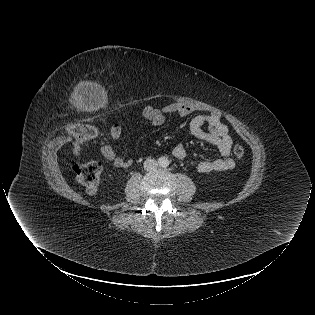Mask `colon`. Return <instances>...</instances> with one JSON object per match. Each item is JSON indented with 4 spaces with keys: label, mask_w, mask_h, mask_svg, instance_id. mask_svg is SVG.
<instances>
[{
    "label": "colon",
    "mask_w": 315,
    "mask_h": 315,
    "mask_svg": "<svg viewBox=\"0 0 315 315\" xmlns=\"http://www.w3.org/2000/svg\"><path fill=\"white\" fill-rule=\"evenodd\" d=\"M69 134L72 137L76 152L81 150L82 145L86 141L93 140L99 136V133L95 128L87 125H75L69 130ZM233 154L238 159H241L245 154V150L241 145H235L233 147ZM74 171L78 182L88 193L93 194L97 192L102 172L101 164L98 161L91 159L76 164Z\"/></svg>",
    "instance_id": "obj_1"
}]
</instances>
